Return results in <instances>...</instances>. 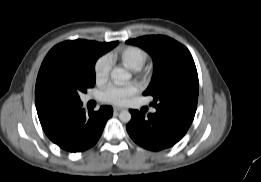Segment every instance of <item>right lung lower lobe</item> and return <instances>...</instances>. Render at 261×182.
Returning a JSON list of instances; mask_svg holds the SVG:
<instances>
[{"instance_id":"1","label":"right lung lower lobe","mask_w":261,"mask_h":182,"mask_svg":"<svg viewBox=\"0 0 261 182\" xmlns=\"http://www.w3.org/2000/svg\"><path fill=\"white\" fill-rule=\"evenodd\" d=\"M110 106L99 111L82 108V102L62 105L40 120L46 135L60 148L81 152L92 147L100 138L107 120L112 116Z\"/></svg>"}]
</instances>
